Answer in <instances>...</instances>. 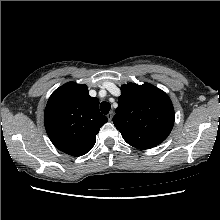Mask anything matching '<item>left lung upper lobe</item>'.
<instances>
[{
  "label": "left lung upper lobe",
  "mask_w": 220,
  "mask_h": 220,
  "mask_svg": "<svg viewBox=\"0 0 220 220\" xmlns=\"http://www.w3.org/2000/svg\"><path fill=\"white\" fill-rule=\"evenodd\" d=\"M113 123L129 145L150 149L170 134L174 108L168 95L155 86L129 83L121 87Z\"/></svg>",
  "instance_id": "obj_1"
}]
</instances>
